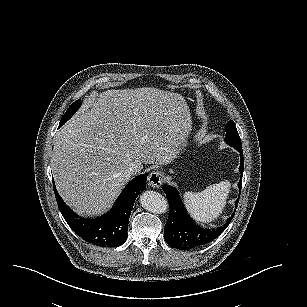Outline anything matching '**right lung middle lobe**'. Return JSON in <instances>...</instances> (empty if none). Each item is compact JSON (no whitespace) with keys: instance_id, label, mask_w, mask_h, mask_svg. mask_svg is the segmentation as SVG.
<instances>
[{"instance_id":"obj_1","label":"right lung middle lobe","mask_w":307,"mask_h":307,"mask_svg":"<svg viewBox=\"0 0 307 307\" xmlns=\"http://www.w3.org/2000/svg\"><path fill=\"white\" fill-rule=\"evenodd\" d=\"M81 106V101L77 100L75 101L66 111V113L64 114V116L62 117L59 127H61L67 120H69L72 115L79 109V107Z\"/></svg>"}]
</instances>
